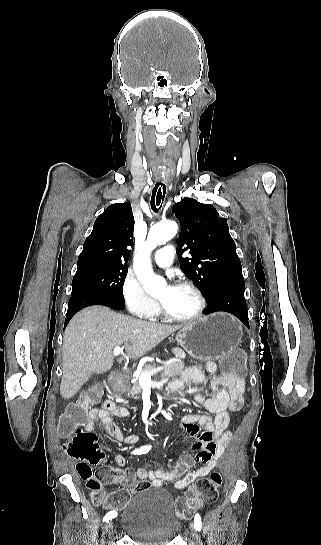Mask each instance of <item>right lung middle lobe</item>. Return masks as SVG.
Segmentation results:
<instances>
[{
    "label": "right lung middle lobe",
    "mask_w": 321,
    "mask_h": 545,
    "mask_svg": "<svg viewBox=\"0 0 321 545\" xmlns=\"http://www.w3.org/2000/svg\"><path fill=\"white\" fill-rule=\"evenodd\" d=\"M127 267L90 265L77 268L72 281L71 297L95 294L124 301L123 284Z\"/></svg>",
    "instance_id": "right-lung-middle-lobe-1"
}]
</instances>
